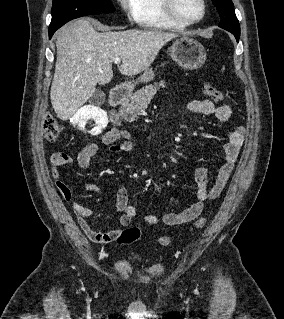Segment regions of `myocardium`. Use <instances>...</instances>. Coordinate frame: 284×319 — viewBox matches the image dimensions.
<instances>
[{"mask_svg":"<svg viewBox=\"0 0 284 319\" xmlns=\"http://www.w3.org/2000/svg\"><path fill=\"white\" fill-rule=\"evenodd\" d=\"M202 3V14L198 19L195 20H186L184 18H182L175 7V0H162V5H163V9L165 11V13L167 14V16L172 19L173 21L185 25V26H190V25H194L197 24L199 22H201L202 20H204V18L206 17L207 14V1L206 0H201Z\"/></svg>","mask_w":284,"mask_h":319,"instance_id":"1","label":"myocardium"}]
</instances>
